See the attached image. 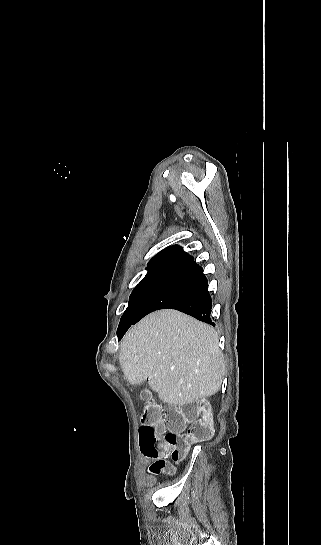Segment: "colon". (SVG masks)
Wrapping results in <instances>:
<instances>
[{
  "label": "colon",
  "mask_w": 321,
  "mask_h": 545,
  "mask_svg": "<svg viewBox=\"0 0 321 545\" xmlns=\"http://www.w3.org/2000/svg\"><path fill=\"white\" fill-rule=\"evenodd\" d=\"M146 400L139 427L142 453L158 459L161 441L174 461L183 459L193 443L209 440L215 433L212 416L205 405L190 404L184 407L163 408L152 401L149 394ZM187 425L189 427L186 429ZM186 429V430H185ZM165 433V434H164ZM162 434L164 436L162 437ZM157 473L172 474L174 468L166 461L157 463Z\"/></svg>",
  "instance_id": "5ec220e1"
}]
</instances>
